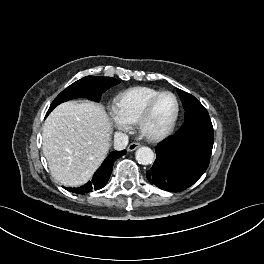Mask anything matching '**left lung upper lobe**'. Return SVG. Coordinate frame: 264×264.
<instances>
[{
  "label": "left lung upper lobe",
  "instance_id": "5c2ea615",
  "mask_svg": "<svg viewBox=\"0 0 264 264\" xmlns=\"http://www.w3.org/2000/svg\"><path fill=\"white\" fill-rule=\"evenodd\" d=\"M177 92L185 110V122L181 128H185L199 121L210 120L205 107L193 95L180 89Z\"/></svg>",
  "mask_w": 264,
  "mask_h": 264
}]
</instances>
